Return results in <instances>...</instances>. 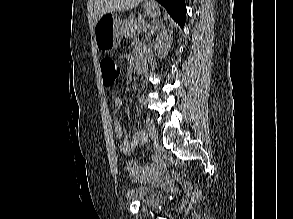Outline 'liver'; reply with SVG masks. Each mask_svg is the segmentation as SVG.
<instances>
[{
  "label": "liver",
  "mask_w": 293,
  "mask_h": 219,
  "mask_svg": "<svg viewBox=\"0 0 293 219\" xmlns=\"http://www.w3.org/2000/svg\"><path fill=\"white\" fill-rule=\"evenodd\" d=\"M143 0H94V24L105 14L115 11H128Z\"/></svg>",
  "instance_id": "1"
}]
</instances>
